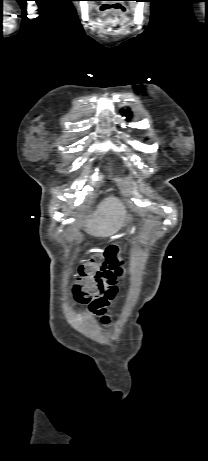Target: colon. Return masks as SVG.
Instances as JSON below:
<instances>
[{
  "instance_id": "colon-1",
  "label": "colon",
  "mask_w": 208,
  "mask_h": 461,
  "mask_svg": "<svg viewBox=\"0 0 208 461\" xmlns=\"http://www.w3.org/2000/svg\"><path fill=\"white\" fill-rule=\"evenodd\" d=\"M123 259L119 249L112 245L107 248L104 256L96 257L79 269V278L74 285V293L81 303H92L103 292L105 283L122 274Z\"/></svg>"
}]
</instances>
